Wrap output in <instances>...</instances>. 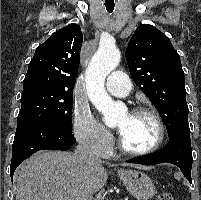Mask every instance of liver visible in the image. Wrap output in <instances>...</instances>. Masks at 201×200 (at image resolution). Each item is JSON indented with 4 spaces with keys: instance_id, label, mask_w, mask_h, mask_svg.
I'll return each mask as SVG.
<instances>
[{
    "instance_id": "1",
    "label": "liver",
    "mask_w": 201,
    "mask_h": 200,
    "mask_svg": "<svg viewBox=\"0 0 201 200\" xmlns=\"http://www.w3.org/2000/svg\"><path fill=\"white\" fill-rule=\"evenodd\" d=\"M102 163L100 160L82 163L77 153L39 151L15 173L16 200H81L85 190L93 195L108 179Z\"/></svg>"
}]
</instances>
